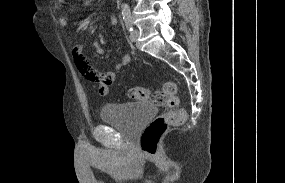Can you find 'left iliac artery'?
<instances>
[{
  "label": "left iliac artery",
  "instance_id": "obj_1",
  "mask_svg": "<svg viewBox=\"0 0 285 183\" xmlns=\"http://www.w3.org/2000/svg\"><path fill=\"white\" fill-rule=\"evenodd\" d=\"M122 16H123V20L125 22L126 28L129 31H132L133 27H132L131 12H130V8L128 6H124L122 8Z\"/></svg>",
  "mask_w": 285,
  "mask_h": 183
}]
</instances>
